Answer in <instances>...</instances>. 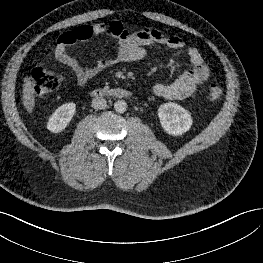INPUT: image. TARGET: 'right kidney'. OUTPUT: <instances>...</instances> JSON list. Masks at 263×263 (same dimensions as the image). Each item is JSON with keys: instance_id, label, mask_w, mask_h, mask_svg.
Segmentation results:
<instances>
[{"instance_id": "1", "label": "right kidney", "mask_w": 263, "mask_h": 263, "mask_svg": "<svg viewBox=\"0 0 263 263\" xmlns=\"http://www.w3.org/2000/svg\"><path fill=\"white\" fill-rule=\"evenodd\" d=\"M76 111L73 102L65 103L58 107L47 122V129L52 133L62 132L72 120Z\"/></svg>"}]
</instances>
